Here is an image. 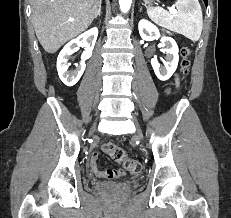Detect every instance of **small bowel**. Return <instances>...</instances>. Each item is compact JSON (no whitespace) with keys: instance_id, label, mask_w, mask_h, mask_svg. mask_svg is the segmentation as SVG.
<instances>
[{"instance_id":"1","label":"small bowel","mask_w":231,"mask_h":218,"mask_svg":"<svg viewBox=\"0 0 231 218\" xmlns=\"http://www.w3.org/2000/svg\"><path fill=\"white\" fill-rule=\"evenodd\" d=\"M174 85L176 88H178V86H179V79L177 76L175 77ZM166 92L169 93L170 89H167ZM89 165H90V169L93 172V174L98 176V177L117 178V177H121L122 175H124L123 169L101 170L98 167V153L97 152H93L91 154V157L89 160Z\"/></svg>"}]
</instances>
